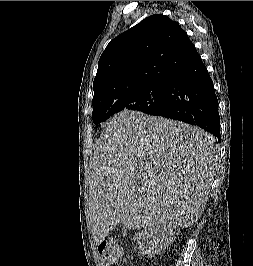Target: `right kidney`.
Listing matches in <instances>:
<instances>
[{
	"label": "right kidney",
	"instance_id": "ca27d5eb",
	"mask_svg": "<svg viewBox=\"0 0 253 266\" xmlns=\"http://www.w3.org/2000/svg\"><path fill=\"white\" fill-rule=\"evenodd\" d=\"M172 223L145 227L134 236L140 252L145 255H157L169 246L179 235V229Z\"/></svg>",
	"mask_w": 253,
	"mask_h": 266
}]
</instances>
